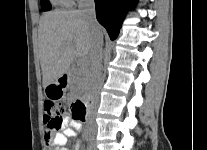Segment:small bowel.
Here are the masks:
<instances>
[{"label":"small bowel","instance_id":"obj_1","mask_svg":"<svg viewBox=\"0 0 207 150\" xmlns=\"http://www.w3.org/2000/svg\"><path fill=\"white\" fill-rule=\"evenodd\" d=\"M79 131V123L66 119L61 131L49 134L47 140L51 141L50 150H69L65 147L69 137L76 136Z\"/></svg>","mask_w":207,"mask_h":150}]
</instances>
